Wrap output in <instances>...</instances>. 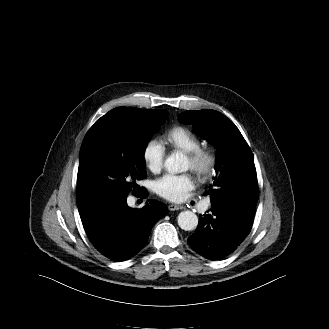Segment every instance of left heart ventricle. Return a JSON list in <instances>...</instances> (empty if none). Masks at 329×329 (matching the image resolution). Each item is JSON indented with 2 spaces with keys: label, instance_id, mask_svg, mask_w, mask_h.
<instances>
[{
  "label": "left heart ventricle",
  "instance_id": "obj_1",
  "mask_svg": "<svg viewBox=\"0 0 329 329\" xmlns=\"http://www.w3.org/2000/svg\"><path fill=\"white\" fill-rule=\"evenodd\" d=\"M185 168L186 169H191V162H190V160L188 158H186Z\"/></svg>",
  "mask_w": 329,
  "mask_h": 329
}]
</instances>
